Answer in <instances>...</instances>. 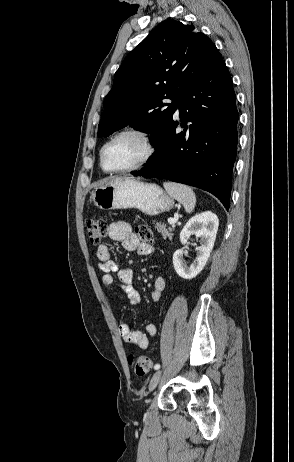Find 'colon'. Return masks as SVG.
<instances>
[{
  "mask_svg": "<svg viewBox=\"0 0 294 462\" xmlns=\"http://www.w3.org/2000/svg\"><path fill=\"white\" fill-rule=\"evenodd\" d=\"M85 226L88 240L93 245L99 244L106 235L107 223L103 218L89 217L86 220ZM136 234L143 242L153 241V233L147 226H137ZM128 362L135 374L139 376L147 374L152 365L151 359L148 356L137 352H131L128 355Z\"/></svg>",
  "mask_w": 294,
  "mask_h": 462,
  "instance_id": "colon-1",
  "label": "colon"
}]
</instances>
